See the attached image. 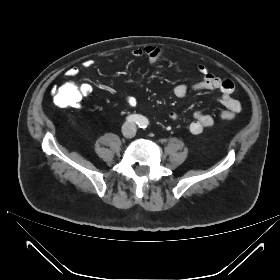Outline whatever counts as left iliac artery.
<instances>
[{
	"instance_id": "44dca946",
	"label": "left iliac artery",
	"mask_w": 280,
	"mask_h": 280,
	"mask_svg": "<svg viewBox=\"0 0 280 280\" xmlns=\"http://www.w3.org/2000/svg\"><path fill=\"white\" fill-rule=\"evenodd\" d=\"M138 125L140 128H146L148 125V121L143 118L142 121Z\"/></svg>"
}]
</instances>
